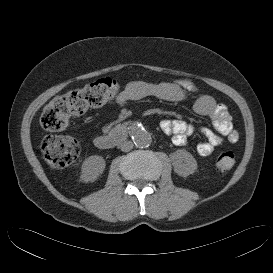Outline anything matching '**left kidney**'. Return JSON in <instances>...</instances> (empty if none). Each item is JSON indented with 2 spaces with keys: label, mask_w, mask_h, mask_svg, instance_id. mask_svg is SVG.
<instances>
[{
  "label": "left kidney",
  "mask_w": 273,
  "mask_h": 273,
  "mask_svg": "<svg viewBox=\"0 0 273 273\" xmlns=\"http://www.w3.org/2000/svg\"><path fill=\"white\" fill-rule=\"evenodd\" d=\"M174 171L182 177L194 173L197 169V161L190 152L185 149H179L170 156Z\"/></svg>",
  "instance_id": "1"
}]
</instances>
